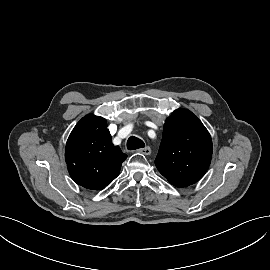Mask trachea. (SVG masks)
I'll list each match as a JSON object with an SVG mask.
<instances>
[{"label": "trachea", "mask_w": 270, "mask_h": 270, "mask_svg": "<svg viewBox=\"0 0 270 270\" xmlns=\"http://www.w3.org/2000/svg\"><path fill=\"white\" fill-rule=\"evenodd\" d=\"M143 147H145V143L135 136H131L127 141V148L129 150H136Z\"/></svg>", "instance_id": "trachea-1"}]
</instances>
